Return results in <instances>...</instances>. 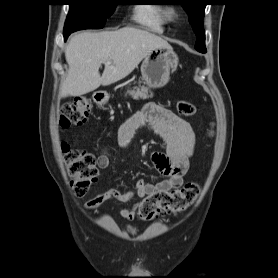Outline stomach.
I'll return each instance as SVG.
<instances>
[{
  "mask_svg": "<svg viewBox=\"0 0 278 278\" xmlns=\"http://www.w3.org/2000/svg\"><path fill=\"white\" fill-rule=\"evenodd\" d=\"M178 63L179 58L172 47L152 49L141 64V74L145 84L149 88L165 86L169 82L170 74L177 69Z\"/></svg>",
  "mask_w": 278,
  "mask_h": 278,
  "instance_id": "obj_1",
  "label": "stomach"
}]
</instances>
